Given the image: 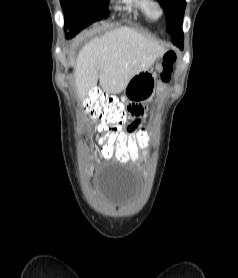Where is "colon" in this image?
Wrapping results in <instances>:
<instances>
[{
  "label": "colon",
  "instance_id": "obj_1",
  "mask_svg": "<svg viewBox=\"0 0 238 278\" xmlns=\"http://www.w3.org/2000/svg\"><path fill=\"white\" fill-rule=\"evenodd\" d=\"M176 54L169 51L164 57L161 79L169 81ZM84 108L89 116L100 122L94 129L93 136L99 146V159H117L118 162H144L147 158L144 153L146 142H152L151 130H136L135 137L128 136V131L121 127L128 119L129 109L116 97L108 95L101 90H92L84 101ZM141 155V157H139Z\"/></svg>",
  "mask_w": 238,
  "mask_h": 278
}]
</instances>
